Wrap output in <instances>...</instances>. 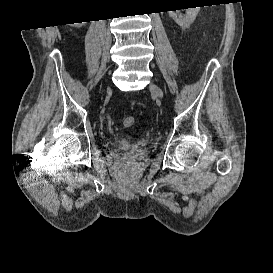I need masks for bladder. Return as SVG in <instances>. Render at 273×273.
Returning a JSON list of instances; mask_svg holds the SVG:
<instances>
[{"instance_id": "1", "label": "bladder", "mask_w": 273, "mask_h": 273, "mask_svg": "<svg viewBox=\"0 0 273 273\" xmlns=\"http://www.w3.org/2000/svg\"><path fill=\"white\" fill-rule=\"evenodd\" d=\"M117 146L119 149H127L131 146V141L127 138H118L117 141Z\"/></svg>"}]
</instances>
